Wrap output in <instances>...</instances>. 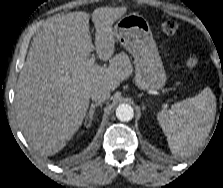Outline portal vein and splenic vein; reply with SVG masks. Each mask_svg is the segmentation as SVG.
Here are the masks:
<instances>
[{
	"mask_svg": "<svg viewBox=\"0 0 223 188\" xmlns=\"http://www.w3.org/2000/svg\"><path fill=\"white\" fill-rule=\"evenodd\" d=\"M95 63V57L92 56L88 61H87V65L88 66H92Z\"/></svg>",
	"mask_w": 223,
	"mask_h": 188,
	"instance_id": "1",
	"label": "portal vein and splenic vein"
}]
</instances>
